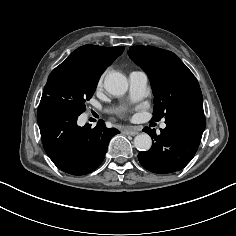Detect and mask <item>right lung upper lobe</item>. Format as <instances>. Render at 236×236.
Here are the masks:
<instances>
[{"instance_id":"cb5924a9","label":"right lung upper lobe","mask_w":236,"mask_h":236,"mask_svg":"<svg viewBox=\"0 0 236 236\" xmlns=\"http://www.w3.org/2000/svg\"><path fill=\"white\" fill-rule=\"evenodd\" d=\"M123 51L124 47L84 45L72 52L63 64L100 76Z\"/></svg>"}]
</instances>
